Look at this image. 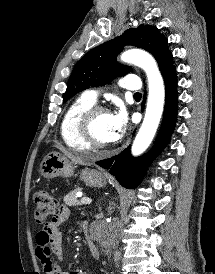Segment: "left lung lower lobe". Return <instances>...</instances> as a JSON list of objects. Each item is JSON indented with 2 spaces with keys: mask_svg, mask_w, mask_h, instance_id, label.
Returning <instances> with one entry per match:
<instances>
[{
  "mask_svg": "<svg viewBox=\"0 0 215 274\" xmlns=\"http://www.w3.org/2000/svg\"><path fill=\"white\" fill-rule=\"evenodd\" d=\"M166 98L162 125L154 149L147 155L133 158L129 147L119 155L97 161L102 168L110 169V173L126 188L135 189L142 181L146 168L156 154L169 142L177 117V78L175 66L163 74ZM144 102L142 103V107Z\"/></svg>",
  "mask_w": 215,
  "mask_h": 274,
  "instance_id": "1",
  "label": "left lung lower lobe"
}]
</instances>
